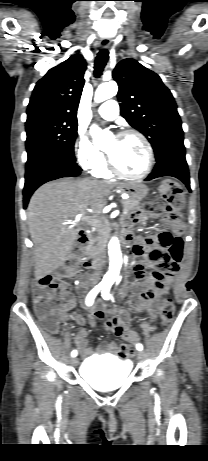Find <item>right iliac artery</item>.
<instances>
[{"label":"right iliac artery","mask_w":208,"mask_h":461,"mask_svg":"<svg viewBox=\"0 0 208 461\" xmlns=\"http://www.w3.org/2000/svg\"><path fill=\"white\" fill-rule=\"evenodd\" d=\"M103 289V286L101 285H97L93 290L90 291V293L88 294L87 298H86V304L88 306H91L93 304V301L96 297V295L98 294V292ZM71 356L72 357H76L77 356V351L76 350H73L71 352Z\"/></svg>","instance_id":"1"}]
</instances>
